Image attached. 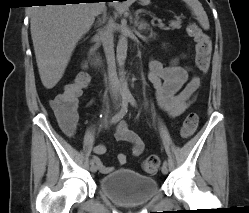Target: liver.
<instances>
[{
	"instance_id": "1",
	"label": "liver",
	"mask_w": 249,
	"mask_h": 213,
	"mask_svg": "<svg viewBox=\"0 0 249 213\" xmlns=\"http://www.w3.org/2000/svg\"><path fill=\"white\" fill-rule=\"evenodd\" d=\"M105 10L104 2L31 8V37L46 89H52L61 80L78 41L90 30L95 17Z\"/></svg>"
}]
</instances>
